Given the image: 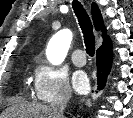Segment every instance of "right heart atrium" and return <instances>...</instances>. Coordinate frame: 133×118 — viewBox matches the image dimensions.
Instances as JSON below:
<instances>
[{"mask_svg":"<svg viewBox=\"0 0 133 118\" xmlns=\"http://www.w3.org/2000/svg\"><path fill=\"white\" fill-rule=\"evenodd\" d=\"M33 92L42 103L69 98L71 88L67 73L59 67L38 61L33 76Z\"/></svg>","mask_w":133,"mask_h":118,"instance_id":"right-heart-atrium-1","label":"right heart atrium"}]
</instances>
